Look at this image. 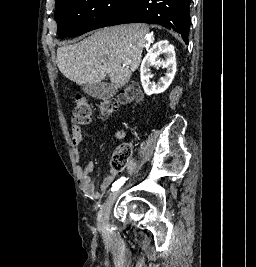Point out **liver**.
<instances>
[{"label": "liver", "instance_id": "1", "mask_svg": "<svg viewBox=\"0 0 256 267\" xmlns=\"http://www.w3.org/2000/svg\"><path fill=\"white\" fill-rule=\"evenodd\" d=\"M147 32L145 24L96 30L79 44L58 48L56 64L61 74L76 84H98L108 74L111 86L119 90L138 70Z\"/></svg>", "mask_w": 256, "mask_h": 267}]
</instances>
